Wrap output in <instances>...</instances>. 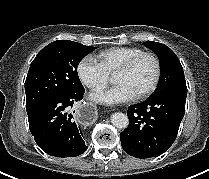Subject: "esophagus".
Wrapping results in <instances>:
<instances>
[{
  "label": "esophagus",
  "mask_w": 209,
  "mask_h": 179,
  "mask_svg": "<svg viewBox=\"0 0 209 179\" xmlns=\"http://www.w3.org/2000/svg\"><path fill=\"white\" fill-rule=\"evenodd\" d=\"M75 116L80 124L88 126L96 121L98 113L93 105L82 104L77 108Z\"/></svg>",
  "instance_id": "1"
}]
</instances>
